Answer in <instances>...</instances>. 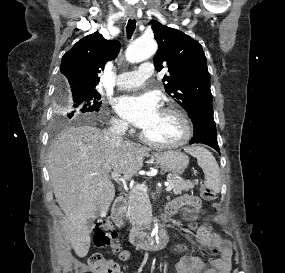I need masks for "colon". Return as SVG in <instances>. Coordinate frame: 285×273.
<instances>
[{
    "label": "colon",
    "instance_id": "5ec220e1",
    "mask_svg": "<svg viewBox=\"0 0 285 273\" xmlns=\"http://www.w3.org/2000/svg\"><path fill=\"white\" fill-rule=\"evenodd\" d=\"M200 192H201V197L206 201H215L217 199L216 191L207 185H202ZM187 209L192 210L193 206L188 205ZM185 214L186 216H194L195 212L186 211ZM190 227L191 228L195 227L197 232L201 231V228L199 227L198 223L195 224L191 223ZM114 240H115V233L108 226L99 228L94 234V243L96 244V246L106 247L111 245L112 251L114 253H117L118 257L121 260L127 259L128 257L127 252L121 250L120 246L114 243ZM88 264L93 273H119L116 263H114L112 260L106 258L104 255L100 253H95L91 255L88 259Z\"/></svg>",
    "mask_w": 285,
    "mask_h": 273
}]
</instances>
